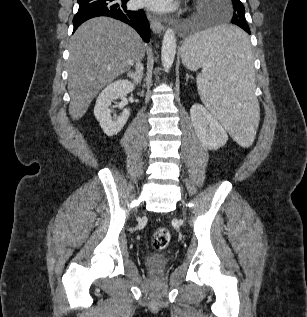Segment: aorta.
<instances>
[{"label":"aorta","mask_w":307,"mask_h":317,"mask_svg":"<svg viewBox=\"0 0 307 317\" xmlns=\"http://www.w3.org/2000/svg\"><path fill=\"white\" fill-rule=\"evenodd\" d=\"M176 48L175 33L172 28H167L163 37L161 49V61L166 72H168L173 65Z\"/></svg>","instance_id":"762f6f07"}]
</instances>
